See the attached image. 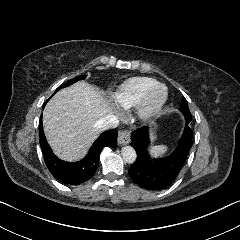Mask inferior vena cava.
<instances>
[{
    "mask_svg": "<svg viewBox=\"0 0 240 240\" xmlns=\"http://www.w3.org/2000/svg\"><path fill=\"white\" fill-rule=\"evenodd\" d=\"M119 124V118L114 115H107L102 117L95 123V127L100 129L101 131H107Z\"/></svg>",
    "mask_w": 240,
    "mask_h": 240,
    "instance_id": "obj_1",
    "label": "inferior vena cava"
}]
</instances>
